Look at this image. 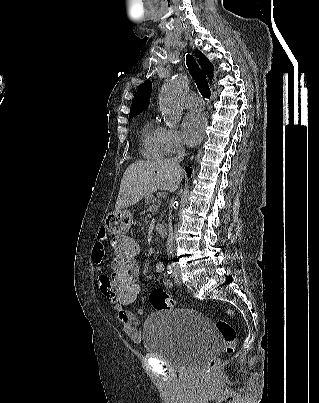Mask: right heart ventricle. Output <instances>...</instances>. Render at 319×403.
Returning a JSON list of instances; mask_svg holds the SVG:
<instances>
[{
  "label": "right heart ventricle",
  "mask_w": 319,
  "mask_h": 403,
  "mask_svg": "<svg viewBox=\"0 0 319 403\" xmlns=\"http://www.w3.org/2000/svg\"><path fill=\"white\" fill-rule=\"evenodd\" d=\"M142 154L146 158H160L164 155L161 127L150 121L143 127Z\"/></svg>",
  "instance_id": "e07e8e85"
}]
</instances>
